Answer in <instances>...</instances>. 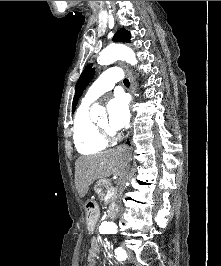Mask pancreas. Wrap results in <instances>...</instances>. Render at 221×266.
<instances>
[{"label": "pancreas", "instance_id": "cf45deb5", "mask_svg": "<svg viewBox=\"0 0 221 266\" xmlns=\"http://www.w3.org/2000/svg\"><path fill=\"white\" fill-rule=\"evenodd\" d=\"M112 186V183L109 179H101L97 182V186H96V193L98 195V198L100 200H103L105 197V191L110 188ZM116 194L117 191L114 190L110 196V202L113 203L116 200Z\"/></svg>", "mask_w": 221, "mask_h": 266}]
</instances>
